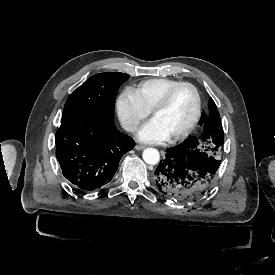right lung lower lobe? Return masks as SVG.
<instances>
[{"instance_id": "1", "label": "right lung lower lobe", "mask_w": 275, "mask_h": 275, "mask_svg": "<svg viewBox=\"0 0 275 275\" xmlns=\"http://www.w3.org/2000/svg\"><path fill=\"white\" fill-rule=\"evenodd\" d=\"M133 139L114 124L103 125L82 116L63 117L56 133V157L64 177L84 192L109 183Z\"/></svg>"}]
</instances>
